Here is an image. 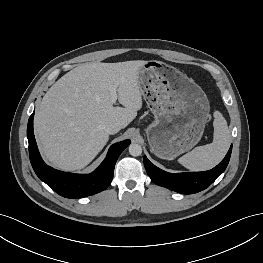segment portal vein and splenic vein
Returning <instances> with one entry per match:
<instances>
[{"instance_id":"portal-vein-and-splenic-vein-1","label":"portal vein and splenic vein","mask_w":263,"mask_h":263,"mask_svg":"<svg viewBox=\"0 0 263 263\" xmlns=\"http://www.w3.org/2000/svg\"><path fill=\"white\" fill-rule=\"evenodd\" d=\"M116 88H117V86L114 85V86H112L111 89H110V93H111V101H112L113 104L116 103L117 98H118V96H117V92H116Z\"/></svg>"}]
</instances>
